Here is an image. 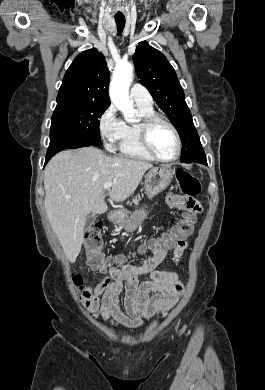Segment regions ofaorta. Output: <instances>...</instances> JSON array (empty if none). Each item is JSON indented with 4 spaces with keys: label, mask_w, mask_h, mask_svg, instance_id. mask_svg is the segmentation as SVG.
Wrapping results in <instances>:
<instances>
[{
    "label": "aorta",
    "mask_w": 265,
    "mask_h": 390,
    "mask_svg": "<svg viewBox=\"0 0 265 390\" xmlns=\"http://www.w3.org/2000/svg\"><path fill=\"white\" fill-rule=\"evenodd\" d=\"M134 67L131 63L116 64L109 87L113 104L120 110L127 122L134 121L135 109L129 97V88L133 79Z\"/></svg>",
    "instance_id": "aorta-1"
}]
</instances>
